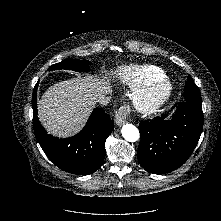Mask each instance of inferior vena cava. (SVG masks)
<instances>
[{
    "mask_svg": "<svg viewBox=\"0 0 221 221\" xmlns=\"http://www.w3.org/2000/svg\"><path fill=\"white\" fill-rule=\"evenodd\" d=\"M111 91L105 90L104 92L99 93L96 96V102L99 103L100 105H107L110 100H111Z\"/></svg>",
    "mask_w": 221,
    "mask_h": 221,
    "instance_id": "obj_1",
    "label": "inferior vena cava"
}]
</instances>
